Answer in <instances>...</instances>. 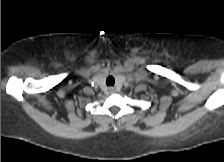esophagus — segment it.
I'll list each match as a JSON object with an SVG mask.
<instances>
[{"mask_svg":"<svg viewBox=\"0 0 224 162\" xmlns=\"http://www.w3.org/2000/svg\"><path fill=\"white\" fill-rule=\"evenodd\" d=\"M109 93H115L116 89L114 87H108Z\"/></svg>","mask_w":224,"mask_h":162,"instance_id":"34e87169","label":"esophagus"}]
</instances>
